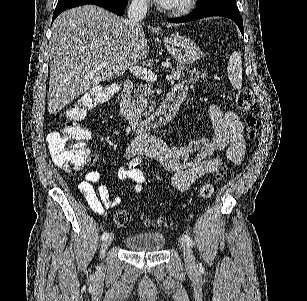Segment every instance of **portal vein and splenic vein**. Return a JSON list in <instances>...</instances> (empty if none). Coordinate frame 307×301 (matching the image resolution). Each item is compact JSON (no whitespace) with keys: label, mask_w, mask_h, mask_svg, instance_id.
<instances>
[{"label":"portal vein and splenic vein","mask_w":307,"mask_h":301,"mask_svg":"<svg viewBox=\"0 0 307 301\" xmlns=\"http://www.w3.org/2000/svg\"><path fill=\"white\" fill-rule=\"evenodd\" d=\"M108 62H101L100 66H106ZM130 72L134 74V76H138V78H144V80H157V74L152 72L150 68H141V66H130ZM180 74L178 72H174V74H167V80H172V78H179Z\"/></svg>","instance_id":"18ae733b"}]
</instances>
